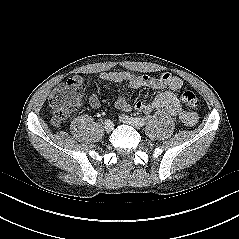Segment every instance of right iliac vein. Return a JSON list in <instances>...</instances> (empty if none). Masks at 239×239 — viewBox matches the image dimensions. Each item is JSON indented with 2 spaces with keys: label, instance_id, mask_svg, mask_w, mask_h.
<instances>
[{
  "label": "right iliac vein",
  "instance_id": "right-iliac-vein-1",
  "mask_svg": "<svg viewBox=\"0 0 239 239\" xmlns=\"http://www.w3.org/2000/svg\"><path fill=\"white\" fill-rule=\"evenodd\" d=\"M104 128L107 132H111L114 128V124H105Z\"/></svg>",
  "mask_w": 239,
  "mask_h": 239
}]
</instances>
